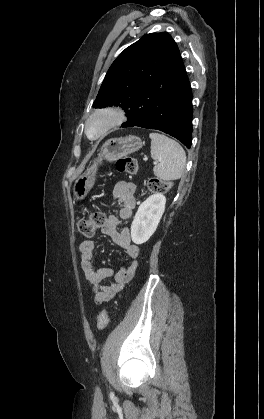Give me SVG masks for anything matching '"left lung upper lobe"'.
Returning <instances> with one entry per match:
<instances>
[{
    "mask_svg": "<svg viewBox=\"0 0 264 419\" xmlns=\"http://www.w3.org/2000/svg\"><path fill=\"white\" fill-rule=\"evenodd\" d=\"M179 61L177 44L167 32L144 35L113 62L93 107L115 105L127 113L151 87L175 75Z\"/></svg>",
    "mask_w": 264,
    "mask_h": 419,
    "instance_id": "5c2ea615",
    "label": "left lung upper lobe"
}]
</instances>
